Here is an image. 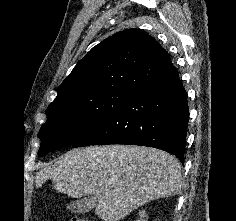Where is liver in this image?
<instances>
[{
  "mask_svg": "<svg viewBox=\"0 0 236 221\" xmlns=\"http://www.w3.org/2000/svg\"><path fill=\"white\" fill-rule=\"evenodd\" d=\"M47 180L70 197L94 196L95 214L119 221L151 200L178 194L182 171L175 156L159 149L103 145L66 152L36 174V187Z\"/></svg>",
  "mask_w": 236,
  "mask_h": 221,
  "instance_id": "1",
  "label": "liver"
}]
</instances>
